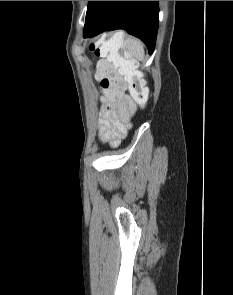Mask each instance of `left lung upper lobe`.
Masks as SVG:
<instances>
[{"instance_id":"left-lung-upper-lobe-1","label":"left lung upper lobe","mask_w":233,"mask_h":295,"mask_svg":"<svg viewBox=\"0 0 233 295\" xmlns=\"http://www.w3.org/2000/svg\"><path fill=\"white\" fill-rule=\"evenodd\" d=\"M94 3H95V1H89L88 2V8H87L86 17L89 15L90 10H91V8H92V6H93Z\"/></svg>"}]
</instances>
